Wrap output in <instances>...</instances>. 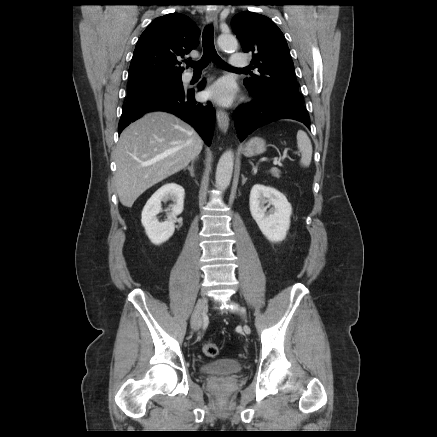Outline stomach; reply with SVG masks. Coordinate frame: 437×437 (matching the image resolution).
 I'll use <instances>...</instances> for the list:
<instances>
[{"label":"stomach","mask_w":437,"mask_h":437,"mask_svg":"<svg viewBox=\"0 0 437 437\" xmlns=\"http://www.w3.org/2000/svg\"><path fill=\"white\" fill-rule=\"evenodd\" d=\"M266 151V142L260 137L251 138L243 148V154L246 157L257 156Z\"/></svg>","instance_id":"stomach-1"}]
</instances>
